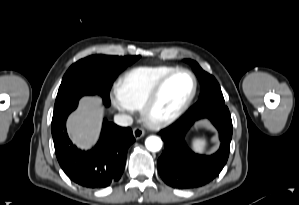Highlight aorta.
Wrapping results in <instances>:
<instances>
[{
  "label": "aorta",
  "instance_id": "762f6f07",
  "mask_svg": "<svg viewBox=\"0 0 299 205\" xmlns=\"http://www.w3.org/2000/svg\"><path fill=\"white\" fill-rule=\"evenodd\" d=\"M146 148L151 152H157L162 148V140L158 136H149L145 140Z\"/></svg>",
  "mask_w": 299,
  "mask_h": 205
}]
</instances>
